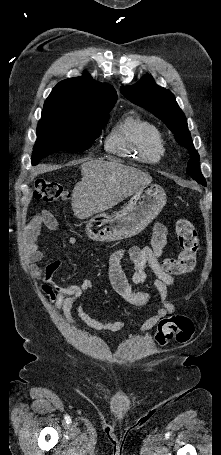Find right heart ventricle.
Instances as JSON below:
<instances>
[{
	"label": "right heart ventricle",
	"mask_w": 221,
	"mask_h": 455,
	"mask_svg": "<svg viewBox=\"0 0 221 455\" xmlns=\"http://www.w3.org/2000/svg\"><path fill=\"white\" fill-rule=\"evenodd\" d=\"M105 149L145 163L160 161L165 151L159 129L135 113H127L117 122L106 138Z\"/></svg>",
	"instance_id": "obj_1"
}]
</instances>
